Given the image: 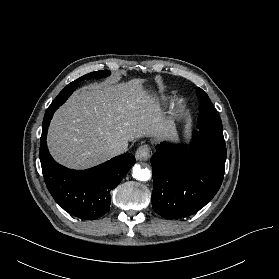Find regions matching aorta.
Instances as JSON below:
<instances>
[{
  "label": "aorta",
  "mask_w": 279,
  "mask_h": 279,
  "mask_svg": "<svg viewBox=\"0 0 279 279\" xmlns=\"http://www.w3.org/2000/svg\"><path fill=\"white\" fill-rule=\"evenodd\" d=\"M133 177L139 181H148L151 177V173L147 168H142L140 165L133 167Z\"/></svg>",
  "instance_id": "aorta-1"
}]
</instances>
